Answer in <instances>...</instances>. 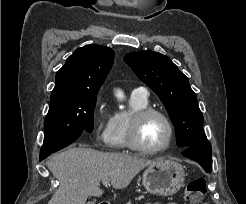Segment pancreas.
I'll return each mask as SVG.
<instances>
[{"instance_id": "cf45deb5", "label": "pancreas", "mask_w": 246, "mask_h": 204, "mask_svg": "<svg viewBox=\"0 0 246 204\" xmlns=\"http://www.w3.org/2000/svg\"><path fill=\"white\" fill-rule=\"evenodd\" d=\"M141 199H143V196L136 198V200H141ZM127 204H131V202H128Z\"/></svg>"}]
</instances>
